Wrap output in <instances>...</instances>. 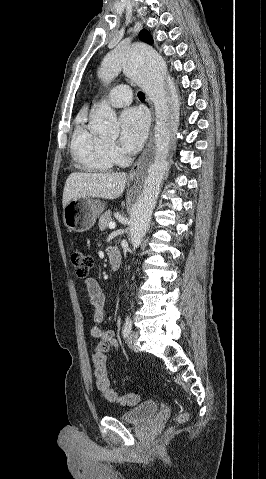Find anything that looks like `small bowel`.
<instances>
[{
	"instance_id": "obj_1",
	"label": "small bowel",
	"mask_w": 266,
	"mask_h": 479,
	"mask_svg": "<svg viewBox=\"0 0 266 479\" xmlns=\"http://www.w3.org/2000/svg\"><path fill=\"white\" fill-rule=\"evenodd\" d=\"M84 291L88 297L93 309L91 318L94 325L91 328L93 337L105 342L110 347H117V341L112 330H106L101 327L105 312V295L94 278H87L84 281Z\"/></svg>"
}]
</instances>
